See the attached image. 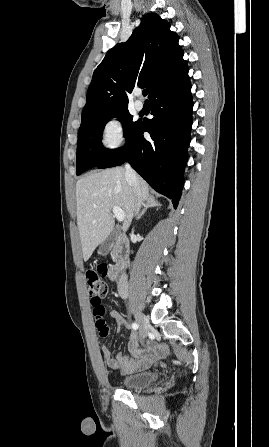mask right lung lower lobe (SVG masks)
Segmentation results:
<instances>
[{
	"label": "right lung lower lobe",
	"instance_id": "98d812e1",
	"mask_svg": "<svg viewBox=\"0 0 269 447\" xmlns=\"http://www.w3.org/2000/svg\"><path fill=\"white\" fill-rule=\"evenodd\" d=\"M154 118L141 122L125 145L97 166L109 168L128 161L157 192L176 208L184 183L192 127L193 101L187 63L149 94ZM144 131L151 139L143 137Z\"/></svg>",
	"mask_w": 269,
	"mask_h": 447
}]
</instances>
